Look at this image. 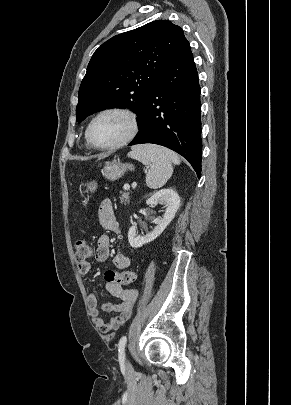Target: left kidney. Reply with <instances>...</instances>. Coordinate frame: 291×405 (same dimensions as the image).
I'll return each mask as SVG.
<instances>
[{
    "instance_id": "5707ae66",
    "label": "left kidney",
    "mask_w": 291,
    "mask_h": 405,
    "mask_svg": "<svg viewBox=\"0 0 291 405\" xmlns=\"http://www.w3.org/2000/svg\"><path fill=\"white\" fill-rule=\"evenodd\" d=\"M146 204L151 206H157L158 204L164 205L166 207L165 213L162 218L154 220L155 228L146 235H138L135 226L129 228L128 241L133 248H140L144 244L152 242L165 230L175 217L180 206V197L170 188L161 189L147 199Z\"/></svg>"
}]
</instances>
